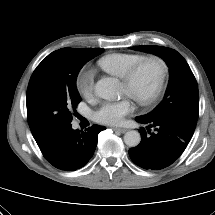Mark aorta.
Here are the masks:
<instances>
[{
	"label": "aorta",
	"mask_w": 215,
	"mask_h": 215,
	"mask_svg": "<svg viewBox=\"0 0 215 215\" xmlns=\"http://www.w3.org/2000/svg\"><path fill=\"white\" fill-rule=\"evenodd\" d=\"M95 93L102 99L116 100L121 96V87L115 78H102L95 84ZM140 141V133L136 130L128 131L124 135V142L129 147H136Z\"/></svg>",
	"instance_id": "762f6f07"
}]
</instances>
